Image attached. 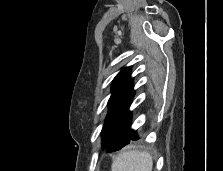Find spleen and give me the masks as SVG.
<instances>
[{"label":"spleen","instance_id":"spleen-1","mask_svg":"<svg viewBox=\"0 0 223 171\" xmlns=\"http://www.w3.org/2000/svg\"><path fill=\"white\" fill-rule=\"evenodd\" d=\"M112 171H152L153 160L146 151H125L115 157Z\"/></svg>","mask_w":223,"mask_h":171}]
</instances>
